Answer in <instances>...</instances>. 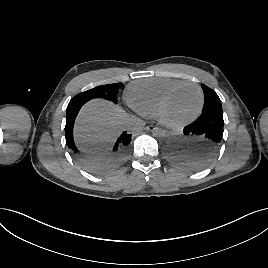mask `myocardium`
<instances>
[{
    "label": "myocardium",
    "mask_w": 268,
    "mask_h": 268,
    "mask_svg": "<svg viewBox=\"0 0 268 268\" xmlns=\"http://www.w3.org/2000/svg\"><path fill=\"white\" fill-rule=\"evenodd\" d=\"M186 86H193L199 92V104H198L197 109L195 110V112L192 115H190L189 117H187L185 119L179 120V121H170V120L166 119L164 117V111H165V108H166L169 100L179 89L186 87ZM203 104H204V93H203L202 88L194 82L184 81L182 83L175 85L174 87H172L171 89H169L166 92V94L163 96V98L161 99V101L158 105L157 112H156V118L160 124L170 128V129H174V130L181 129L197 118V116L200 114V112L203 108Z\"/></svg>",
    "instance_id": "obj_1"
}]
</instances>
